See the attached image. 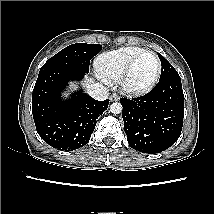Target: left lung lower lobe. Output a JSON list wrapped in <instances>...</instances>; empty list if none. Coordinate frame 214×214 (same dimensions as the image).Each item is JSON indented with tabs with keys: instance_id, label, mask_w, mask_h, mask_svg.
I'll list each match as a JSON object with an SVG mask.
<instances>
[{
	"instance_id": "obj_1",
	"label": "left lung lower lobe",
	"mask_w": 214,
	"mask_h": 214,
	"mask_svg": "<svg viewBox=\"0 0 214 214\" xmlns=\"http://www.w3.org/2000/svg\"><path fill=\"white\" fill-rule=\"evenodd\" d=\"M124 130L129 145L154 154L171 147L183 126L184 94L180 77L159 80L146 95L121 98Z\"/></svg>"
}]
</instances>
